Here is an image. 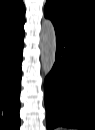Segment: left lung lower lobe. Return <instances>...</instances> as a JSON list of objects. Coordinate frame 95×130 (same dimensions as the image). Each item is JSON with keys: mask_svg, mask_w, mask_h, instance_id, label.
I'll return each instance as SVG.
<instances>
[{"mask_svg": "<svg viewBox=\"0 0 95 130\" xmlns=\"http://www.w3.org/2000/svg\"><path fill=\"white\" fill-rule=\"evenodd\" d=\"M53 25L56 61L44 84L47 130H95V29L71 20Z\"/></svg>", "mask_w": 95, "mask_h": 130, "instance_id": "left-lung-lower-lobe-1", "label": "left lung lower lobe"}]
</instances>
